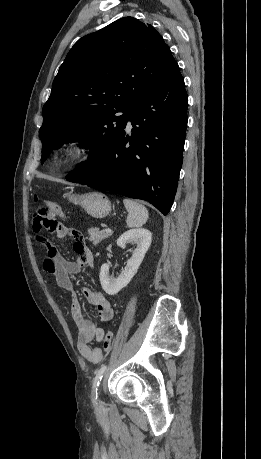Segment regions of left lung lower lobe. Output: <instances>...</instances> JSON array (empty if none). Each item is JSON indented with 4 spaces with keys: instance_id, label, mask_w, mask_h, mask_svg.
Instances as JSON below:
<instances>
[{
    "instance_id": "left-lung-lower-lobe-1",
    "label": "left lung lower lobe",
    "mask_w": 261,
    "mask_h": 459,
    "mask_svg": "<svg viewBox=\"0 0 261 459\" xmlns=\"http://www.w3.org/2000/svg\"><path fill=\"white\" fill-rule=\"evenodd\" d=\"M187 107L184 80L175 62L131 111V135L124 130L100 164L87 171L74 169L66 180L146 200L167 215L182 166Z\"/></svg>"
}]
</instances>
